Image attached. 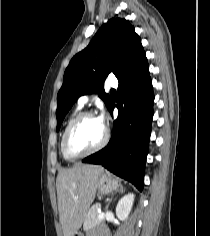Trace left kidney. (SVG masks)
I'll use <instances>...</instances> for the list:
<instances>
[{"mask_svg":"<svg viewBox=\"0 0 210 236\" xmlns=\"http://www.w3.org/2000/svg\"><path fill=\"white\" fill-rule=\"evenodd\" d=\"M133 202H134L133 193H128L119 200L116 206V215L120 220H125L128 218V215L133 206Z\"/></svg>","mask_w":210,"mask_h":236,"instance_id":"left-kidney-1","label":"left kidney"}]
</instances>
